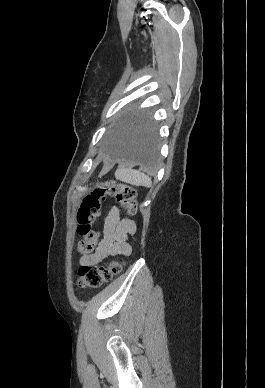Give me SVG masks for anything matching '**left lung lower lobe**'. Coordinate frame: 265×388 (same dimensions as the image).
Wrapping results in <instances>:
<instances>
[{
	"label": "left lung lower lobe",
	"mask_w": 265,
	"mask_h": 388,
	"mask_svg": "<svg viewBox=\"0 0 265 388\" xmlns=\"http://www.w3.org/2000/svg\"><path fill=\"white\" fill-rule=\"evenodd\" d=\"M157 134L144 115L123 120L106 142L107 151L118 159L154 167L157 161Z\"/></svg>",
	"instance_id": "1"
}]
</instances>
